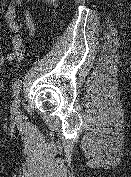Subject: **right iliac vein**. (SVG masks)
<instances>
[{"instance_id": "63e3f726", "label": "right iliac vein", "mask_w": 131, "mask_h": 177, "mask_svg": "<svg viewBox=\"0 0 131 177\" xmlns=\"http://www.w3.org/2000/svg\"><path fill=\"white\" fill-rule=\"evenodd\" d=\"M19 113V99L18 97L13 102L12 114L13 116H17Z\"/></svg>"}]
</instances>
